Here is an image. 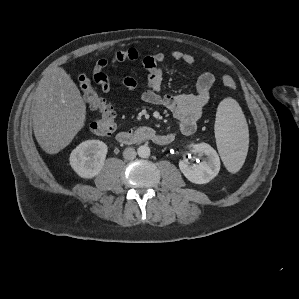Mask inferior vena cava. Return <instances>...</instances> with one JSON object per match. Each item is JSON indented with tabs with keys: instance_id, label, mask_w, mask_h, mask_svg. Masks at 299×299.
Here are the masks:
<instances>
[{
	"instance_id": "1",
	"label": "inferior vena cava",
	"mask_w": 299,
	"mask_h": 299,
	"mask_svg": "<svg viewBox=\"0 0 299 299\" xmlns=\"http://www.w3.org/2000/svg\"><path fill=\"white\" fill-rule=\"evenodd\" d=\"M136 155H137V153H136L135 149L132 148V147H127L123 151V157L126 160H132V159H134L136 157Z\"/></svg>"
}]
</instances>
